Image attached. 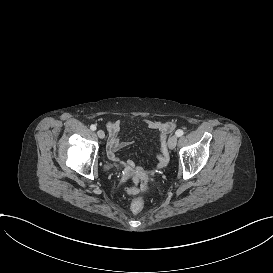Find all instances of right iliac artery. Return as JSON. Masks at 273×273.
Masks as SVG:
<instances>
[{"label": "right iliac artery", "instance_id": "right-iliac-artery-1", "mask_svg": "<svg viewBox=\"0 0 273 273\" xmlns=\"http://www.w3.org/2000/svg\"><path fill=\"white\" fill-rule=\"evenodd\" d=\"M90 129H91L92 131H95V130H96V126H95V125H91V126H90Z\"/></svg>", "mask_w": 273, "mask_h": 273}]
</instances>
